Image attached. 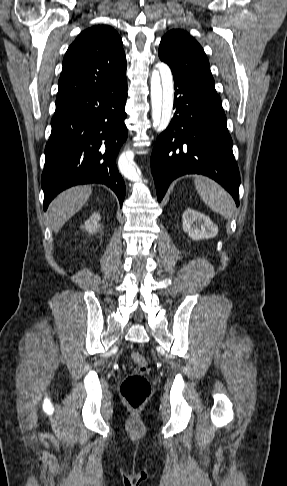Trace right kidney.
<instances>
[{
    "label": "right kidney",
    "mask_w": 287,
    "mask_h": 486,
    "mask_svg": "<svg viewBox=\"0 0 287 486\" xmlns=\"http://www.w3.org/2000/svg\"><path fill=\"white\" fill-rule=\"evenodd\" d=\"M100 219L101 216L99 213H93L91 217L81 226V229H84L90 234L96 233L100 228Z\"/></svg>",
    "instance_id": "obj_1"
}]
</instances>
